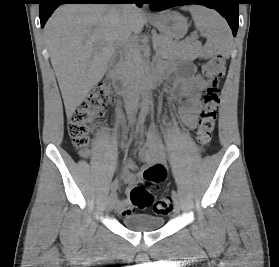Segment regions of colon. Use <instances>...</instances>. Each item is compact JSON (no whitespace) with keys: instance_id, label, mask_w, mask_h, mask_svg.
<instances>
[{"instance_id":"colon-1","label":"colon","mask_w":279,"mask_h":267,"mask_svg":"<svg viewBox=\"0 0 279 267\" xmlns=\"http://www.w3.org/2000/svg\"><path fill=\"white\" fill-rule=\"evenodd\" d=\"M208 79V87L203 97L204 106L200 114L196 131V141L200 149L205 148L212 140L218 109L220 105V81L225 75V62L219 56L210 58L202 67ZM116 102L113 84L110 81L99 84L85 98L68 118V132L74 147L82 157L88 156V145L92 127L106 106ZM165 172L162 168L148 166L143 171V184L130 191L131 203L139 209L152 207L158 215H166L173 209L170 197L166 196L154 201L148 187L162 182Z\"/></svg>"}]
</instances>
